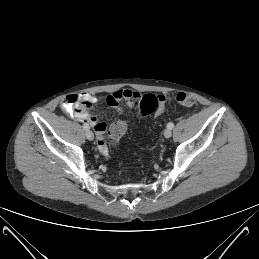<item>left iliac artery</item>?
Returning <instances> with one entry per match:
<instances>
[{
	"instance_id": "obj_1",
	"label": "left iliac artery",
	"mask_w": 259,
	"mask_h": 259,
	"mask_svg": "<svg viewBox=\"0 0 259 259\" xmlns=\"http://www.w3.org/2000/svg\"><path fill=\"white\" fill-rule=\"evenodd\" d=\"M167 128L173 129V128H174V124H173L172 122H169V123L167 124Z\"/></svg>"
}]
</instances>
